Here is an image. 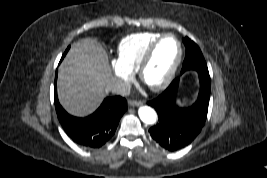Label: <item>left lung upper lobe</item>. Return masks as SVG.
I'll return each instance as SVG.
<instances>
[{"label": "left lung upper lobe", "instance_id": "left-lung-upper-lobe-1", "mask_svg": "<svg viewBox=\"0 0 267 178\" xmlns=\"http://www.w3.org/2000/svg\"><path fill=\"white\" fill-rule=\"evenodd\" d=\"M186 46V56L182 66V72L190 69L206 71L208 68L199 47L188 37L183 39Z\"/></svg>", "mask_w": 267, "mask_h": 178}]
</instances>
